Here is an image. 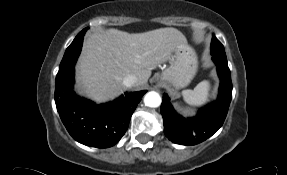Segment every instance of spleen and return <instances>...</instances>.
I'll list each match as a JSON object with an SVG mask.
<instances>
[{
    "instance_id": "3e777b00",
    "label": "spleen",
    "mask_w": 287,
    "mask_h": 175,
    "mask_svg": "<svg viewBox=\"0 0 287 175\" xmlns=\"http://www.w3.org/2000/svg\"><path fill=\"white\" fill-rule=\"evenodd\" d=\"M211 84L208 80H204L197 84L193 89L182 91L184 101L190 106H203L209 101Z\"/></svg>"
}]
</instances>
